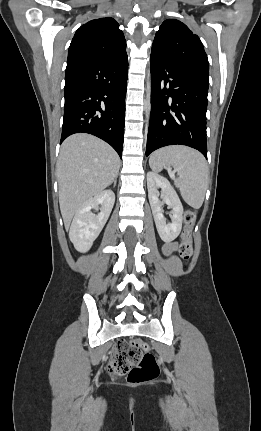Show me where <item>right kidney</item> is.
I'll return each instance as SVG.
<instances>
[{
	"label": "right kidney",
	"instance_id": "right-kidney-1",
	"mask_svg": "<svg viewBox=\"0 0 261 431\" xmlns=\"http://www.w3.org/2000/svg\"><path fill=\"white\" fill-rule=\"evenodd\" d=\"M115 202V194L112 190H104L86 201L76 212L69 231V238L75 249L79 252H87L93 245L104 225L106 224ZM100 212L95 215L92 209Z\"/></svg>",
	"mask_w": 261,
	"mask_h": 431
}]
</instances>
